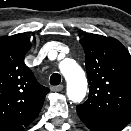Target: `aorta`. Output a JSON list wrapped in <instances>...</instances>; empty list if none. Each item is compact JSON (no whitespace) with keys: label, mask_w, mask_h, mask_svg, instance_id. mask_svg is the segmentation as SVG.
<instances>
[{"label":"aorta","mask_w":131,"mask_h":131,"mask_svg":"<svg viewBox=\"0 0 131 131\" xmlns=\"http://www.w3.org/2000/svg\"><path fill=\"white\" fill-rule=\"evenodd\" d=\"M59 68L67 82V96L69 100L81 102L87 91V79L84 71L71 59L63 60Z\"/></svg>","instance_id":"obj_1"}]
</instances>
